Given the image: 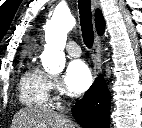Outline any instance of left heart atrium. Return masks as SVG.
<instances>
[{"label": "left heart atrium", "mask_w": 142, "mask_h": 128, "mask_svg": "<svg viewBox=\"0 0 142 128\" xmlns=\"http://www.w3.org/2000/svg\"><path fill=\"white\" fill-rule=\"evenodd\" d=\"M63 82L73 94L87 90L92 83V75L88 66L81 60L70 62L66 68Z\"/></svg>", "instance_id": "left-heart-atrium-1"}]
</instances>
